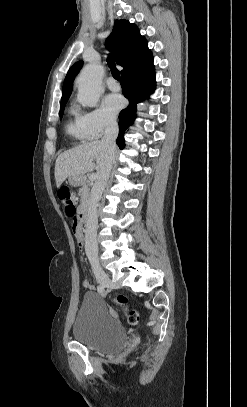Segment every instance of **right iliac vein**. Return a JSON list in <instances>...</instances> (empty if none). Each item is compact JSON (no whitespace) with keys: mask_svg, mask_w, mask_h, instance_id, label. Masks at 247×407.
I'll return each instance as SVG.
<instances>
[{"mask_svg":"<svg viewBox=\"0 0 247 407\" xmlns=\"http://www.w3.org/2000/svg\"><path fill=\"white\" fill-rule=\"evenodd\" d=\"M93 271L97 281L104 287L114 288L116 286V283L110 279L98 264L93 266Z\"/></svg>","mask_w":247,"mask_h":407,"instance_id":"63e3f726","label":"right iliac vein"}]
</instances>
